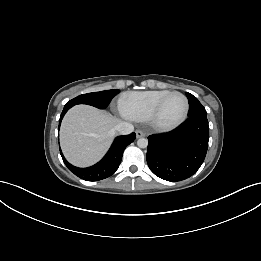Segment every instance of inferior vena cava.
I'll return each mask as SVG.
<instances>
[{
  "label": "inferior vena cava",
  "instance_id": "inferior-vena-cava-1",
  "mask_svg": "<svg viewBox=\"0 0 261 261\" xmlns=\"http://www.w3.org/2000/svg\"><path fill=\"white\" fill-rule=\"evenodd\" d=\"M114 130L119 135H127L133 132L134 126L128 122H118L115 125Z\"/></svg>",
  "mask_w": 261,
  "mask_h": 261
}]
</instances>
